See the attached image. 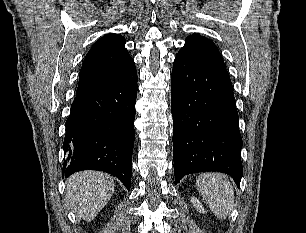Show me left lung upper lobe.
<instances>
[{"instance_id": "left-lung-upper-lobe-1", "label": "left lung upper lobe", "mask_w": 306, "mask_h": 233, "mask_svg": "<svg viewBox=\"0 0 306 233\" xmlns=\"http://www.w3.org/2000/svg\"><path fill=\"white\" fill-rule=\"evenodd\" d=\"M181 54H187L196 60L215 63L225 67L220 52L216 45L209 39L193 34L185 40V46L179 51Z\"/></svg>"}]
</instances>
